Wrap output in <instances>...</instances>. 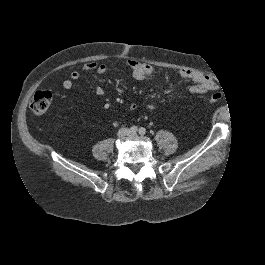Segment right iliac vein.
I'll use <instances>...</instances> for the list:
<instances>
[{
  "label": "right iliac vein",
  "instance_id": "right-iliac-vein-1",
  "mask_svg": "<svg viewBox=\"0 0 265 265\" xmlns=\"http://www.w3.org/2000/svg\"><path fill=\"white\" fill-rule=\"evenodd\" d=\"M129 134H130V131L127 128H121L118 131L117 136L122 138V137L128 136Z\"/></svg>",
  "mask_w": 265,
  "mask_h": 265
}]
</instances>
